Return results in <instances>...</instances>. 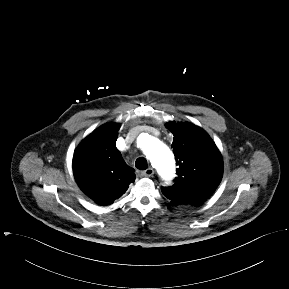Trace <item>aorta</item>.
<instances>
[{"label": "aorta", "instance_id": "1", "mask_svg": "<svg viewBox=\"0 0 289 289\" xmlns=\"http://www.w3.org/2000/svg\"><path fill=\"white\" fill-rule=\"evenodd\" d=\"M139 145L151 164L160 173H174V158L172 152L164 143L148 134H143L139 137Z\"/></svg>", "mask_w": 289, "mask_h": 289}]
</instances>
